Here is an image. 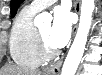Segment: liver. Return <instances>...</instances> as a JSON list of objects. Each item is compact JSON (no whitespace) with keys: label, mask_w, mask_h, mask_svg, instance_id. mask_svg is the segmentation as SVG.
Wrapping results in <instances>:
<instances>
[{"label":"liver","mask_w":102,"mask_h":75,"mask_svg":"<svg viewBox=\"0 0 102 75\" xmlns=\"http://www.w3.org/2000/svg\"><path fill=\"white\" fill-rule=\"evenodd\" d=\"M0 75H42L40 71L20 68L16 65H6L0 70Z\"/></svg>","instance_id":"6515ba94"}]
</instances>
